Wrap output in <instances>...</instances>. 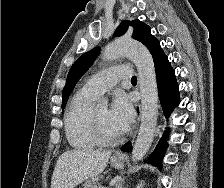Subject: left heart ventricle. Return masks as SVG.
<instances>
[{
    "instance_id": "obj_1",
    "label": "left heart ventricle",
    "mask_w": 224,
    "mask_h": 188,
    "mask_svg": "<svg viewBox=\"0 0 224 188\" xmlns=\"http://www.w3.org/2000/svg\"><path fill=\"white\" fill-rule=\"evenodd\" d=\"M95 114L105 135L109 137H116L120 135L110 120L109 111L107 108L95 110Z\"/></svg>"
}]
</instances>
